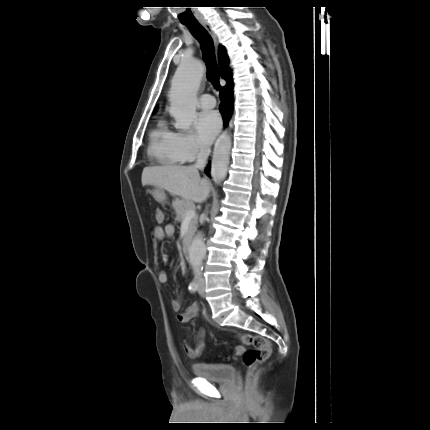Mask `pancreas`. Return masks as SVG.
I'll return each mask as SVG.
<instances>
[{
    "mask_svg": "<svg viewBox=\"0 0 430 430\" xmlns=\"http://www.w3.org/2000/svg\"><path fill=\"white\" fill-rule=\"evenodd\" d=\"M172 206L176 212V220H178L179 222H182L185 219V214L189 209L194 208V205L192 202L180 200V199H175L172 203ZM197 224H198V217L195 215L193 218H191L189 222L187 236L192 234Z\"/></svg>",
    "mask_w": 430,
    "mask_h": 430,
    "instance_id": "cf45deb5",
    "label": "pancreas"
}]
</instances>
